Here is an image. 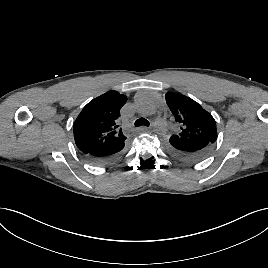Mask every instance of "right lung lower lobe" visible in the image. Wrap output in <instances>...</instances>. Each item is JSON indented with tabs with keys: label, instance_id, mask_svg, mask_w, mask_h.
<instances>
[{
	"label": "right lung lower lobe",
	"instance_id": "obj_1",
	"mask_svg": "<svg viewBox=\"0 0 268 268\" xmlns=\"http://www.w3.org/2000/svg\"><path fill=\"white\" fill-rule=\"evenodd\" d=\"M124 146L125 144L105 151L98 150L90 153L82 152V154L94 163L108 164L115 161L121 155Z\"/></svg>",
	"mask_w": 268,
	"mask_h": 268
}]
</instances>
